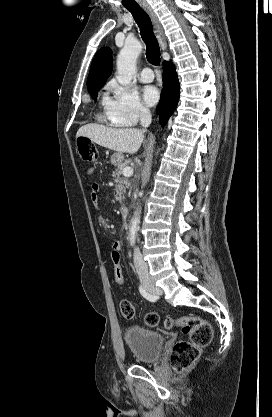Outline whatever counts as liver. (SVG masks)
Returning a JSON list of instances; mask_svg holds the SVG:
<instances>
[{
	"instance_id": "obj_1",
	"label": "liver",
	"mask_w": 272,
	"mask_h": 417,
	"mask_svg": "<svg viewBox=\"0 0 272 417\" xmlns=\"http://www.w3.org/2000/svg\"><path fill=\"white\" fill-rule=\"evenodd\" d=\"M87 137L102 147L126 153H136L144 139V133L136 128H111L99 124L80 127L76 137Z\"/></svg>"
}]
</instances>
